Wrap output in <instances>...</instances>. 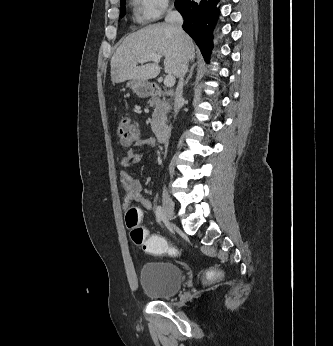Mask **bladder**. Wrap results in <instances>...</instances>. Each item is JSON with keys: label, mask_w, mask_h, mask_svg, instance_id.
<instances>
[{"label": "bladder", "mask_w": 333, "mask_h": 346, "mask_svg": "<svg viewBox=\"0 0 333 346\" xmlns=\"http://www.w3.org/2000/svg\"><path fill=\"white\" fill-rule=\"evenodd\" d=\"M140 285L155 300L167 299L176 294L183 282L182 270L172 263H155L142 267Z\"/></svg>", "instance_id": "31cf9c89"}]
</instances>
